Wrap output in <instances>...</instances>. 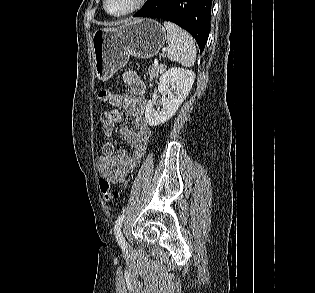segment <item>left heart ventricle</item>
<instances>
[{
    "mask_svg": "<svg viewBox=\"0 0 315 293\" xmlns=\"http://www.w3.org/2000/svg\"><path fill=\"white\" fill-rule=\"evenodd\" d=\"M136 0H107V9L113 14H119L130 9Z\"/></svg>",
    "mask_w": 315,
    "mask_h": 293,
    "instance_id": "obj_1",
    "label": "left heart ventricle"
}]
</instances>
